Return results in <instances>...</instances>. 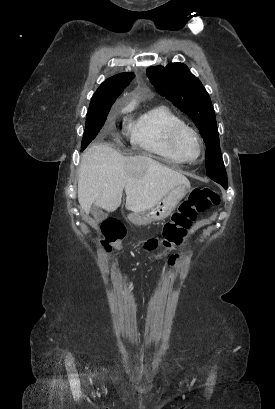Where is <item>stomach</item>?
<instances>
[{
  "label": "stomach",
  "mask_w": 275,
  "mask_h": 409,
  "mask_svg": "<svg viewBox=\"0 0 275 409\" xmlns=\"http://www.w3.org/2000/svg\"><path fill=\"white\" fill-rule=\"evenodd\" d=\"M189 188L190 184H177L175 188L169 190V192L157 202V205H154L151 209H147V211H143V213H131V215H128L130 223L141 227V225H150V223L164 221V219H167L172 211L176 209L178 202L187 194Z\"/></svg>",
  "instance_id": "0dacf381"
}]
</instances>
